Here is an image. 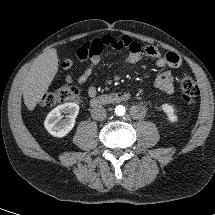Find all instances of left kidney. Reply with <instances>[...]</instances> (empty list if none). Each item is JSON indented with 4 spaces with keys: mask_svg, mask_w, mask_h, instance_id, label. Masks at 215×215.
Masks as SVG:
<instances>
[{
    "mask_svg": "<svg viewBox=\"0 0 215 215\" xmlns=\"http://www.w3.org/2000/svg\"><path fill=\"white\" fill-rule=\"evenodd\" d=\"M161 108L166 113L167 118L171 123L178 121V116L176 115L175 109L172 105L165 103L162 104Z\"/></svg>",
    "mask_w": 215,
    "mask_h": 215,
    "instance_id": "left-kidney-1",
    "label": "left kidney"
}]
</instances>
